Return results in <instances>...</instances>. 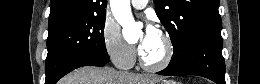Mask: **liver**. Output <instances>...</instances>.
Returning a JSON list of instances; mask_svg holds the SVG:
<instances>
[{
	"label": "liver",
	"instance_id": "6515ba94",
	"mask_svg": "<svg viewBox=\"0 0 260 84\" xmlns=\"http://www.w3.org/2000/svg\"><path fill=\"white\" fill-rule=\"evenodd\" d=\"M156 77L116 71L111 68L87 66L65 76L60 84H155Z\"/></svg>",
	"mask_w": 260,
	"mask_h": 84
}]
</instances>
